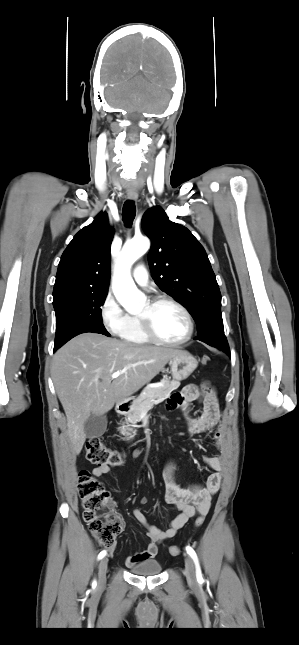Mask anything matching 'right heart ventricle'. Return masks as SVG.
Masks as SVG:
<instances>
[{
    "label": "right heart ventricle",
    "instance_id": "right-heart-ventricle-1",
    "mask_svg": "<svg viewBox=\"0 0 299 645\" xmlns=\"http://www.w3.org/2000/svg\"><path fill=\"white\" fill-rule=\"evenodd\" d=\"M121 338L126 342L136 345H144L151 342L144 334L136 315H128V323Z\"/></svg>",
    "mask_w": 299,
    "mask_h": 645
}]
</instances>
